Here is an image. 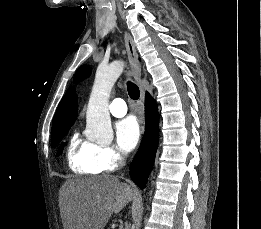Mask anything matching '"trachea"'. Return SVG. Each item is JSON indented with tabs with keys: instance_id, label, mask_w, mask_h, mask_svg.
<instances>
[{
	"instance_id": "3493384b",
	"label": "trachea",
	"mask_w": 261,
	"mask_h": 229,
	"mask_svg": "<svg viewBox=\"0 0 261 229\" xmlns=\"http://www.w3.org/2000/svg\"><path fill=\"white\" fill-rule=\"evenodd\" d=\"M127 90L131 99L137 100L139 98V87L136 84L132 83L131 81H127Z\"/></svg>"
}]
</instances>
